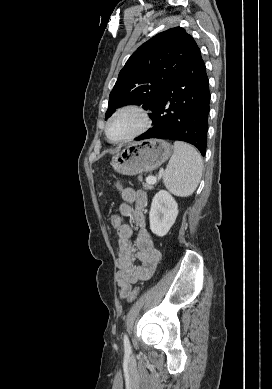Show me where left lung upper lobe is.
<instances>
[{
	"label": "left lung upper lobe",
	"mask_w": 272,
	"mask_h": 389,
	"mask_svg": "<svg viewBox=\"0 0 272 389\" xmlns=\"http://www.w3.org/2000/svg\"><path fill=\"white\" fill-rule=\"evenodd\" d=\"M200 51L181 27L158 33L142 44L120 71L105 119L123 105H142L153 111L167 85Z\"/></svg>",
	"instance_id": "obj_1"
}]
</instances>
